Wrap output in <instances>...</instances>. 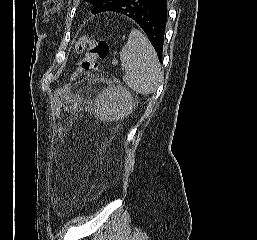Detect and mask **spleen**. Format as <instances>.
Returning <instances> with one entry per match:
<instances>
[{"label": "spleen", "instance_id": "spleen-1", "mask_svg": "<svg viewBox=\"0 0 257 240\" xmlns=\"http://www.w3.org/2000/svg\"><path fill=\"white\" fill-rule=\"evenodd\" d=\"M120 60L125 70L123 81L129 88L140 94L156 91L162 79L160 64L151 43L140 31L131 30Z\"/></svg>", "mask_w": 257, "mask_h": 240}]
</instances>
